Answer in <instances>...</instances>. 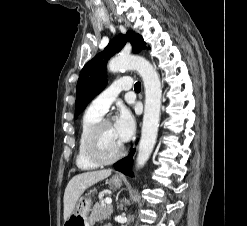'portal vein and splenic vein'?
Listing matches in <instances>:
<instances>
[{
	"label": "portal vein and splenic vein",
	"mask_w": 247,
	"mask_h": 226,
	"mask_svg": "<svg viewBox=\"0 0 247 226\" xmlns=\"http://www.w3.org/2000/svg\"><path fill=\"white\" fill-rule=\"evenodd\" d=\"M105 203L106 204H111L112 203V199L111 198H106L105 199Z\"/></svg>",
	"instance_id": "18ae733b"
}]
</instances>
